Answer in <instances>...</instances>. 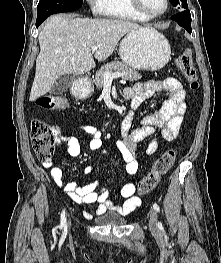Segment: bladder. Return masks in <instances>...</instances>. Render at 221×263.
<instances>
[{
	"mask_svg": "<svg viewBox=\"0 0 221 263\" xmlns=\"http://www.w3.org/2000/svg\"><path fill=\"white\" fill-rule=\"evenodd\" d=\"M95 221L99 225H123L126 223V219L117 215L99 216L95 218Z\"/></svg>",
	"mask_w": 221,
	"mask_h": 263,
	"instance_id": "obj_1",
	"label": "bladder"
}]
</instances>
